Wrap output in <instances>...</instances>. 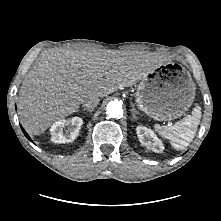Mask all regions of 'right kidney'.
<instances>
[{
  "label": "right kidney",
  "mask_w": 221,
  "mask_h": 221,
  "mask_svg": "<svg viewBox=\"0 0 221 221\" xmlns=\"http://www.w3.org/2000/svg\"><path fill=\"white\" fill-rule=\"evenodd\" d=\"M83 120L80 117H73L68 120H58L50 128L51 140L54 143H67L76 139ZM67 132L64 134V129Z\"/></svg>",
  "instance_id": "1"
}]
</instances>
